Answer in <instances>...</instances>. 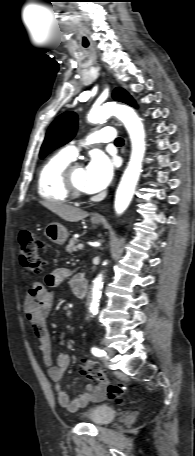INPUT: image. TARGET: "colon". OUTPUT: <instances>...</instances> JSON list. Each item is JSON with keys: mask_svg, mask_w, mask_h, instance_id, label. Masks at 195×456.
<instances>
[{"mask_svg": "<svg viewBox=\"0 0 195 456\" xmlns=\"http://www.w3.org/2000/svg\"><path fill=\"white\" fill-rule=\"evenodd\" d=\"M42 247L43 243L37 239L33 232L23 231L20 233V262L25 268L36 274L40 273L45 265V261L40 255V249ZM79 370L83 375L94 381L104 382L106 380V374L103 367L95 361L87 360L82 362L79 366ZM124 391V386L110 384L107 387V396L122 403Z\"/></svg>", "mask_w": 195, "mask_h": 456, "instance_id": "5ec220e1", "label": "colon"}]
</instances>
